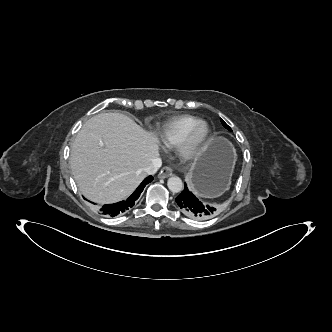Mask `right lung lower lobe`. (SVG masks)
<instances>
[{"label":"right lung lower lobe","mask_w":332,"mask_h":332,"mask_svg":"<svg viewBox=\"0 0 332 332\" xmlns=\"http://www.w3.org/2000/svg\"><path fill=\"white\" fill-rule=\"evenodd\" d=\"M153 180L152 176H148L143 180V182L138 186V188L134 191V193L126 200V201H121L118 203L114 204H107L104 205L100 211L104 215H108L111 217H114L120 213H123L130 208H132L136 202V200L139 198L141 192L143 191L144 187L150 183Z\"/></svg>","instance_id":"right-lung-lower-lobe-1"}]
</instances>
